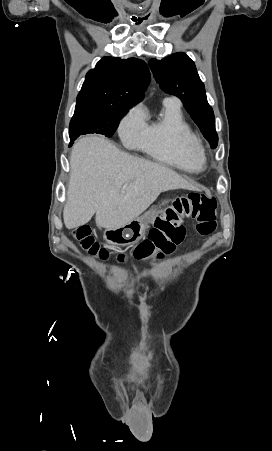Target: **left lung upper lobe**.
<instances>
[{
    "mask_svg": "<svg viewBox=\"0 0 272 451\" xmlns=\"http://www.w3.org/2000/svg\"><path fill=\"white\" fill-rule=\"evenodd\" d=\"M149 66L162 90L181 99L211 147L216 148L218 135L214 113L194 62L185 53L178 52L162 60L153 58Z\"/></svg>",
    "mask_w": 272,
    "mask_h": 451,
    "instance_id": "obj_1",
    "label": "left lung upper lobe"
}]
</instances>
